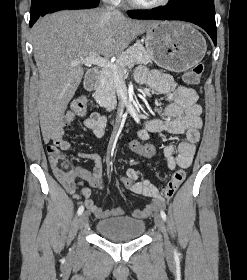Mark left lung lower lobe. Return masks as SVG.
Segmentation results:
<instances>
[{"label":"left lung lower lobe","instance_id":"obj_1","mask_svg":"<svg viewBox=\"0 0 247 280\" xmlns=\"http://www.w3.org/2000/svg\"><path fill=\"white\" fill-rule=\"evenodd\" d=\"M135 19L182 20L202 27L216 45L215 7L213 1H197L180 6H164L154 12H129Z\"/></svg>","mask_w":247,"mask_h":280}]
</instances>
